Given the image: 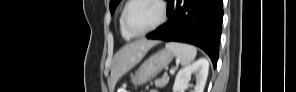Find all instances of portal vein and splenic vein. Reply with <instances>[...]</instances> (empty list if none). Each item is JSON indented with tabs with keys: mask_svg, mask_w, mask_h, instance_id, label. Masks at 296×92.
Returning <instances> with one entry per match:
<instances>
[{
	"mask_svg": "<svg viewBox=\"0 0 296 92\" xmlns=\"http://www.w3.org/2000/svg\"><path fill=\"white\" fill-rule=\"evenodd\" d=\"M170 73H171V74H174L175 71H174V70H170ZM164 76H167V74H165Z\"/></svg>",
	"mask_w": 296,
	"mask_h": 92,
	"instance_id": "obj_1",
	"label": "portal vein and splenic vein"
}]
</instances>
